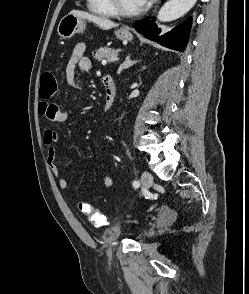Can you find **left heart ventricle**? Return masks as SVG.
<instances>
[{
  "instance_id": "left-heart-ventricle-1",
  "label": "left heart ventricle",
  "mask_w": 249,
  "mask_h": 294,
  "mask_svg": "<svg viewBox=\"0 0 249 294\" xmlns=\"http://www.w3.org/2000/svg\"><path fill=\"white\" fill-rule=\"evenodd\" d=\"M120 3L127 10L139 9L142 6L138 0H120Z\"/></svg>"
}]
</instances>
